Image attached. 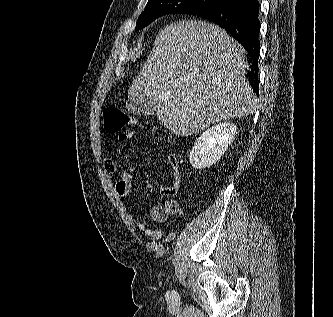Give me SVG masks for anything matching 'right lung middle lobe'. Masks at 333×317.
I'll list each match as a JSON object with an SVG mask.
<instances>
[{
  "mask_svg": "<svg viewBox=\"0 0 333 317\" xmlns=\"http://www.w3.org/2000/svg\"><path fill=\"white\" fill-rule=\"evenodd\" d=\"M227 2L226 0H148L144 12L138 18L135 30H141L163 15L175 13L195 15Z\"/></svg>",
  "mask_w": 333,
  "mask_h": 317,
  "instance_id": "1",
  "label": "right lung middle lobe"
}]
</instances>
